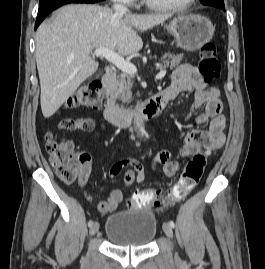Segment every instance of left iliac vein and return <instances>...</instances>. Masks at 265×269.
I'll use <instances>...</instances> for the list:
<instances>
[{
    "label": "left iliac vein",
    "mask_w": 265,
    "mask_h": 269,
    "mask_svg": "<svg viewBox=\"0 0 265 269\" xmlns=\"http://www.w3.org/2000/svg\"><path fill=\"white\" fill-rule=\"evenodd\" d=\"M163 231H164V233L166 234V236L168 238H172L173 237L172 227L168 223H164L163 224Z\"/></svg>",
    "instance_id": "left-iliac-vein-1"
}]
</instances>
